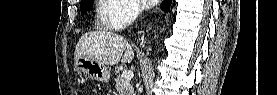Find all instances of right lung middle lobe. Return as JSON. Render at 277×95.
<instances>
[{
	"instance_id": "dd1d6c3e",
	"label": "right lung middle lobe",
	"mask_w": 277,
	"mask_h": 95,
	"mask_svg": "<svg viewBox=\"0 0 277 95\" xmlns=\"http://www.w3.org/2000/svg\"><path fill=\"white\" fill-rule=\"evenodd\" d=\"M93 0H84L81 2L80 8H81V14H86L87 11H89L92 8Z\"/></svg>"
}]
</instances>
